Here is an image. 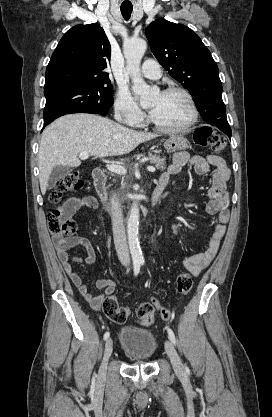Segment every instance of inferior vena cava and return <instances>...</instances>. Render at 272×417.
<instances>
[{"instance_id":"obj_1","label":"inferior vena cava","mask_w":272,"mask_h":417,"mask_svg":"<svg viewBox=\"0 0 272 417\" xmlns=\"http://www.w3.org/2000/svg\"><path fill=\"white\" fill-rule=\"evenodd\" d=\"M115 119L120 121L121 116L119 114H116ZM110 206L115 249L119 261L123 266L127 267L130 264V256L126 241V233L123 223L121 204L117 194H113L111 196Z\"/></svg>"}]
</instances>
